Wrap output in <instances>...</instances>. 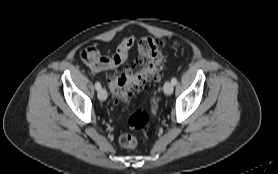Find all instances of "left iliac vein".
<instances>
[{"instance_id":"1","label":"left iliac vein","mask_w":278,"mask_h":174,"mask_svg":"<svg viewBox=\"0 0 278 174\" xmlns=\"http://www.w3.org/2000/svg\"><path fill=\"white\" fill-rule=\"evenodd\" d=\"M163 90L165 94L171 95L173 93V84L169 81L165 82Z\"/></svg>"}]
</instances>
